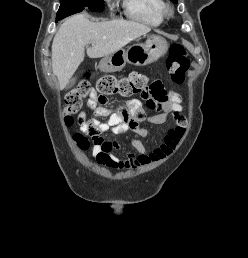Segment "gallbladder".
<instances>
[{"label": "gallbladder", "mask_w": 248, "mask_h": 258, "mask_svg": "<svg viewBox=\"0 0 248 258\" xmlns=\"http://www.w3.org/2000/svg\"><path fill=\"white\" fill-rule=\"evenodd\" d=\"M75 82H76L75 78L71 79L69 84H68V87H72L75 84Z\"/></svg>", "instance_id": "1"}]
</instances>
